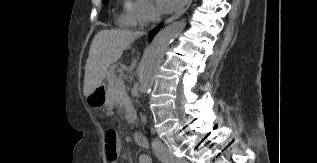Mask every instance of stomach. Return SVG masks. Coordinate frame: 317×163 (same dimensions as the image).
Segmentation results:
<instances>
[{
	"label": "stomach",
	"instance_id": "1",
	"mask_svg": "<svg viewBox=\"0 0 317 163\" xmlns=\"http://www.w3.org/2000/svg\"><path fill=\"white\" fill-rule=\"evenodd\" d=\"M87 104L94 109L107 106V91L104 86L97 87L90 95L86 97Z\"/></svg>",
	"mask_w": 317,
	"mask_h": 163
}]
</instances>
